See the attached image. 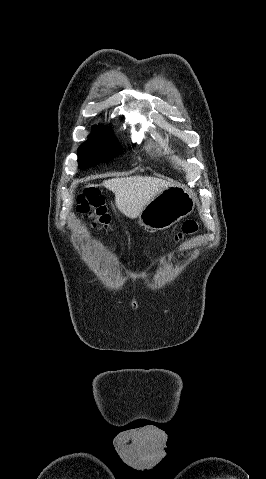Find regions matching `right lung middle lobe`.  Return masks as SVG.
<instances>
[{
    "label": "right lung middle lobe",
    "instance_id": "right-lung-middle-lobe-1",
    "mask_svg": "<svg viewBox=\"0 0 266 479\" xmlns=\"http://www.w3.org/2000/svg\"><path fill=\"white\" fill-rule=\"evenodd\" d=\"M121 151L119 143L111 137L109 128L95 127L89 139L78 148L79 168H88L108 162Z\"/></svg>",
    "mask_w": 266,
    "mask_h": 479
}]
</instances>
